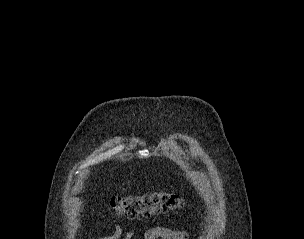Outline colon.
I'll list each match as a JSON object with an SVG mask.
<instances>
[{
    "instance_id": "colon-1",
    "label": "colon",
    "mask_w": 304,
    "mask_h": 239,
    "mask_svg": "<svg viewBox=\"0 0 304 239\" xmlns=\"http://www.w3.org/2000/svg\"><path fill=\"white\" fill-rule=\"evenodd\" d=\"M108 204L117 214L128 218H136L181 209L184 206V200L177 194L160 191L112 197Z\"/></svg>"
}]
</instances>
